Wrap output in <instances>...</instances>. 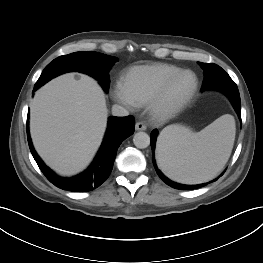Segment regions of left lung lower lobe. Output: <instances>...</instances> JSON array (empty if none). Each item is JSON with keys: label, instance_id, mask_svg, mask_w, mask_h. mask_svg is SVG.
I'll use <instances>...</instances> for the list:
<instances>
[{"label": "left lung lower lobe", "instance_id": "0a47b994", "mask_svg": "<svg viewBox=\"0 0 263 263\" xmlns=\"http://www.w3.org/2000/svg\"><path fill=\"white\" fill-rule=\"evenodd\" d=\"M200 66L204 69L205 73V79L203 82L202 90L206 89H216L228 96L230 99L235 111L237 112L239 118L241 119V101H240V95L239 91L237 89L236 84H223L219 86H215V79L219 77L218 72L222 69L216 64H205V63H199ZM156 137H157V130H153L151 135H150V141H151V147L152 150L154 151L155 148V142H156ZM153 164L155 167V170L158 174V176L169 186L175 188V189H180V190H192V189H197L200 187L205 186L207 183L204 184H199V185H182L179 183H175L168 179L164 174L157 168V165L155 163L154 157H153ZM224 173V172H223ZM223 173L221 175H223ZM220 175V176H221ZM218 178H216L214 181H216Z\"/></svg>", "mask_w": 263, "mask_h": 263}]
</instances>
